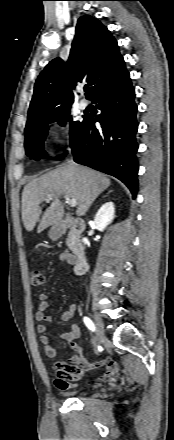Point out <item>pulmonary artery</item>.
Masks as SVG:
<instances>
[{
  "mask_svg": "<svg viewBox=\"0 0 174 440\" xmlns=\"http://www.w3.org/2000/svg\"><path fill=\"white\" fill-rule=\"evenodd\" d=\"M88 105H89V103H88V101L85 100V99H81V100L79 101V103H78V106H79L80 109H85V108L88 107Z\"/></svg>",
  "mask_w": 174,
  "mask_h": 440,
  "instance_id": "pulmonary-artery-1",
  "label": "pulmonary artery"
}]
</instances>
